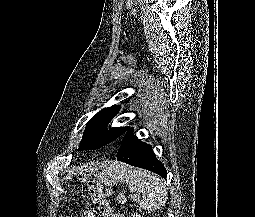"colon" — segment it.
<instances>
[{
  "instance_id": "colon-1",
  "label": "colon",
  "mask_w": 255,
  "mask_h": 217,
  "mask_svg": "<svg viewBox=\"0 0 255 217\" xmlns=\"http://www.w3.org/2000/svg\"><path fill=\"white\" fill-rule=\"evenodd\" d=\"M89 195L96 208L104 213L107 210L106 200L97 184L92 182L89 183ZM131 217H143V215L138 212H134Z\"/></svg>"
}]
</instances>
